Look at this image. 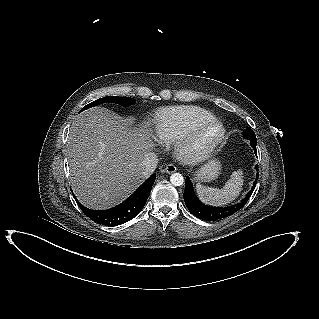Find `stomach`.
I'll list each match as a JSON object with an SVG mask.
<instances>
[{
    "instance_id": "stomach-1",
    "label": "stomach",
    "mask_w": 319,
    "mask_h": 319,
    "mask_svg": "<svg viewBox=\"0 0 319 319\" xmlns=\"http://www.w3.org/2000/svg\"><path fill=\"white\" fill-rule=\"evenodd\" d=\"M220 169V163L216 160H211L197 171L195 178L197 181L214 180L220 174Z\"/></svg>"
}]
</instances>
